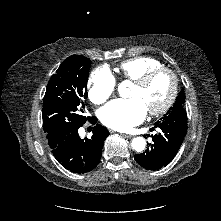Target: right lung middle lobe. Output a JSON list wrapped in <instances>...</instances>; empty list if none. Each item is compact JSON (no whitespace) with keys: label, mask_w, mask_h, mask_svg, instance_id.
Returning <instances> with one entry per match:
<instances>
[{"label":"right lung middle lobe","mask_w":221,"mask_h":221,"mask_svg":"<svg viewBox=\"0 0 221 221\" xmlns=\"http://www.w3.org/2000/svg\"><path fill=\"white\" fill-rule=\"evenodd\" d=\"M90 59L72 55L50 78L43 99V129L48 141L82 126Z\"/></svg>","instance_id":"dd1d6c3e"}]
</instances>
